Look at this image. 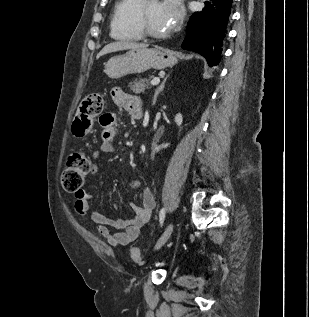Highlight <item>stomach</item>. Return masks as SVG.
Listing matches in <instances>:
<instances>
[{"label": "stomach", "instance_id": "obj_1", "mask_svg": "<svg viewBox=\"0 0 309 317\" xmlns=\"http://www.w3.org/2000/svg\"><path fill=\"white\" fill-rule=\"evenodd\" d=\"M177 63L176 57L160 47L131 49L123 55L111 57L104 72L111 79L128 74L143 73L149 69L162 70Z\"/></svg>", "mask_w": 309, "mask_h": 317}]
</instances>
